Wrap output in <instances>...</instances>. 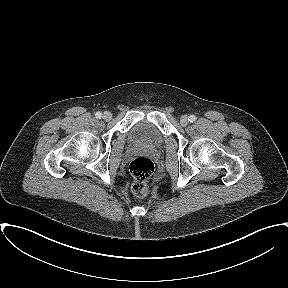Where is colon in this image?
Masks as SVG:
<instances>
[{"label": "colon", "instance_id": "obj_1", "mask_svg": "<svg viewBox=\"0 0 288 288\" xmlns=\"http://www.w3.org/2000/svg\"><path fill=\"white\" fill-rule=\"evenodd\" d=\"M130 171L133 177V193L138 197L146 196L148 193V179L154 172V163L148 158L138 157L130 163Z\"/></svg>", "mask_w": 288, "mask_h": 288}]
</instances>
